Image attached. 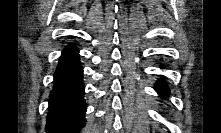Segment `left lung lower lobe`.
<instances>
[{
	"mask_svg": "<svg viewBox=\"0 0 221 133\" xmlns=\"http://www.w3.org/2000/svg\"><path fill=\"white\" fill-rule=\"evenodd\" d=\"M156 91L159 93V95L166 97L169 93V89L166 86L165 82L162 80H158V82L155 85Z\"/></svg>",
	"mask_w": 221,
	"mask_h": 133,
	"instance_id": "0a47b994",
	"label": "left lung lower lobe"
}]
</instances>
